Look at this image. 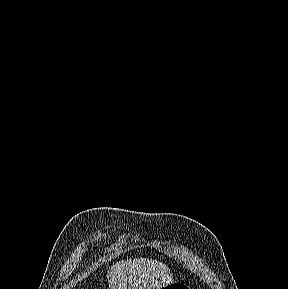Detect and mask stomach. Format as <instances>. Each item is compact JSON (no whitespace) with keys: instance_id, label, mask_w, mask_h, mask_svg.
Returning <instances> with one entry per match:
<instances>
[{"instance_id":"0dacf381","label":"stomach","mask_w":288,"mask_h":289,"mask_svg":"<svg viewBox=\"0 0 288 289\" xmlns=\"http://www.w3.org/2000/svg\"><path fill=\"white\" fill-rule=\"evenodd\" d=\"M162 289H189L187 285L183 283L173 282L169 285L162 287Z\"/></svg>"}]
</instances>
